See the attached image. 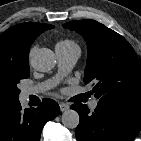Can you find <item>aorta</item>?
<instances>
[{"mask_svg": "<svg viewBox=\"0 0 141 141\" xmlns=\"http://www.w3.org/2000/svg\"><path fill=\"white\" fill-rule=\"evenodd\" d=\"M31 65L40 72H48L55 66V56L53 51L41 48L31 56ZM79 115L75 110L69 109L62 114V124L69 129H74L79 124Z\"/></svg>", "mask_w": 141, "mask_h": 141, "instance_id": "obj_1", "label": "aorta"}]
</instances>
